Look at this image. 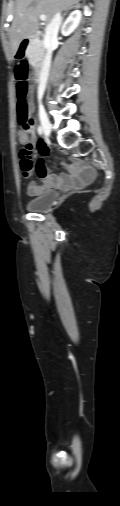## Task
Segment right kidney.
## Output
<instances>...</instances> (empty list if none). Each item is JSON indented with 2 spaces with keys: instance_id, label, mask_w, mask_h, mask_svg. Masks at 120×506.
<instances>
[{
  "instance_id": "right-kidney-1",
  "label": "right kidney",
  "mask_w": 120,
  "mask_h": 506,
  "mask_svg": "<svg viewBox=\"0 0 120 506\" xmlns=\"http://www.w3.org/2000/svg\"><path fill=\"white\" fill-rule=\"evenodd\" d=\"M81 17L82 13L80 10L73 11L62 25L61 28L62 35L64 36L70 35L79 25Z\"/></svg>"
}]
</instances>
